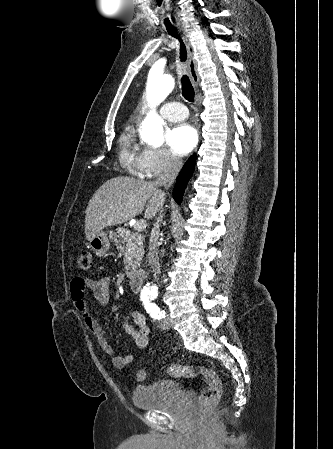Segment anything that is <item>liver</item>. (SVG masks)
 <instances>
[{
	"instance_id": "6515ba94",
	"label": "liver",
	"mask_w": 333,
	"mask_h": 449,
	"mask_svg": "<svg viewBox=\"0 0 333 449\" xmlns=\"http://www.w3.org/2000/svg\"><path fill=\"white\" fill-rule=\"evenodd\" d=\"M157 182H142L129 177L106 181L88 203L85 234L88 241L107 226L122 224L141 214L152 219L165 202Z\"/></svg>"
}]
</instances>
